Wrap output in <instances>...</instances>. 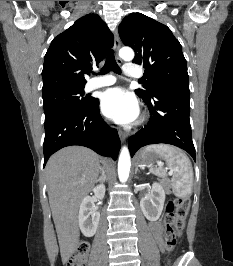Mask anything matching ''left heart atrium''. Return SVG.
<instances>
[{
	"mask_svg": "<svg viewBox=\"0 0 233 266\" xmlns=\"http://www.w3.org/2000/svg\"><path fill=\"white\" fill-rule=\"evenodd\" d=\"M103 114L119 124L134 122L139 115V105L135 97L123 88L106 90L101 97Z\"/></svg>",
	"mask_w": 233,
	"mask_h": 266,
	"instance_id": "left-heart-atrium-1",
	"label": "left heart atrium"
}]
</instances>
